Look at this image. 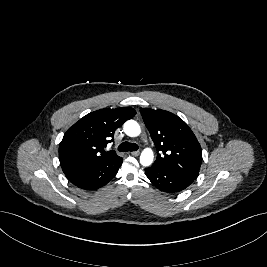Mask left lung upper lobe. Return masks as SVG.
Wrapping results in <instances>:
<instances>
[{"mask_svg": "<svg viewBox=\"0 0 267 267\" xmlns=\"http://www.w3.org/2000/svg\"><path fill=\"white\" fill-rule=\"evenodd\" d=\"M140 112L158 152L154 164L196 179L202 150L189 126L165 110L142 108Z\"/></svg>", "mask_w": 267, "mask_h": 267, "instance_id": "obj_1", "label": "left lung upper lobe"}]
</instances>
